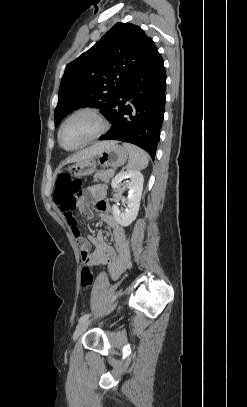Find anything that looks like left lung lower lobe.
Segmentation results:
<instances>
[{"instance_id": "left-lung-lower-lobe-1", "label": "left lung lower lobe", "mask_w": 247, "mask_h": 407, "mask_svg": "<svg viewBox=\"0 0 247 407\" xmlns=\"http://www.w3.org/2000/svg\"><path fill=\"white\" fill-rule=\"evenodd\" d=\"M165 91V67L157 49L124 86L108 118L111 129L100 140L135 144L154 160L164 117Z\"/></svg>"}]
</instances>
